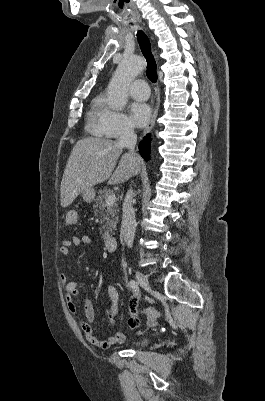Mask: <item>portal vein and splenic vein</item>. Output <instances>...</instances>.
Returning <instances> with one entry per match:
<instances>
[{
  "label": "portal vein and splenic vein",
  "instance_id": "portal-vein-and-splenic-vein-1",
  "mask_svg": "<svg viewBox=\"0 0 265 401\" xmlns=\"http://www.w3.org/2000/svg\"><path fill=\"white\" fill-rule=\"evenodd\" d=\"M115 194H110V196H107L106 198V207H109V205H113L115 203Z\"/></svg>",
  "mask_w": 265,
  "mask_h": 401
}]
</instances>
